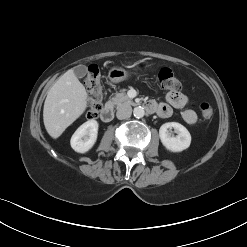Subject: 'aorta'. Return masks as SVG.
I'll return each mask as SVG.
<instances>
[{"label":"aorta","instance_id":"aorta-1","mask_svg":"<svg viewBox=\"0 0 247 247\" xmlns=\"http://www.w3.org/2000/svg\"><path fill=\"white\" fill-rule=\"evenodd\" d=\"M134 117L142 118L145 114L144 108L141 106L135 107L133 110Z\"/></svg>","mask_w":247,"mask_h":247}]
</instances>
